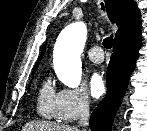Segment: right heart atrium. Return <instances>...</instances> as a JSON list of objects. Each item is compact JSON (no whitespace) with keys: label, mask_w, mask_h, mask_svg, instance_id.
I'll return each instance as SVG.
<instances>
[{"label":"right heart atrium","mask_w":147,"mask_h":131,"mask_svg":"<svg viewBox=\"0 0 147 131\" xmlns=\"http://www.w3.org/2000/svg\"><path fill=\"white\" fill-rule=\"evenodd\" d=\"M90 103L89 95L83 87L64 88L57 93L56 118L63 122H73L89 112Z\"/></svg>","instance_id":"obj_1"}]
</instances>
